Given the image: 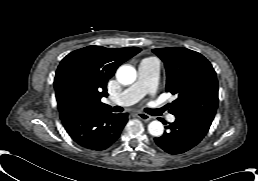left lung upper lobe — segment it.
<instances>
[{
    "instance_id": "1",
    "label": "left lung upper lobe",
    "mask_w": 258,
    "mask_h": 181,
    "mask_svg": "<svg viewBox=\"0 0 258 181\" xmlns=\"http://www.w3.org/2000/svg\"><path fill=\"white\" fill-rule=\"evenodd\" d=\"M165 63L166 91L178 97L173 115H198L213 119L218 106V82L210 62L200 53L179 47L152 50Z\"/></svg>"
}]
</instances>
